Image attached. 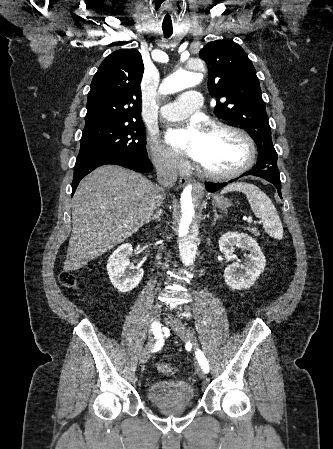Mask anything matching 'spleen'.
Returning a JSON list of instances; mask_svg holds the SVG:
<instances>
[{"instance_id": "spleen-1", "label": "spleen", "mask_w": 333, "mask_h": 449, "mask_svg": "<svg viewBox=\"0 0 333 449\" xmlns=\"http://www.w3.org/2000/svg\"><path fill=\"white\" fill-rule=\"evenodd\" d=\"M239 191L246 195L251 210L262 220L264 230L271 237L283 238V226L280 217L271 199L257 186L249 183H232L225 187L221 193Z\"/></svg>"}]
</instances>
